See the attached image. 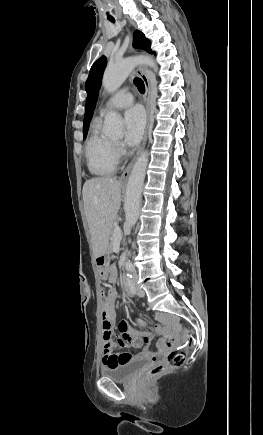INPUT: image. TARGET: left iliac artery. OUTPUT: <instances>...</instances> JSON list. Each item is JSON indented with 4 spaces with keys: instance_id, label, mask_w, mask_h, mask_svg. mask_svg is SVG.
Returning a JSON list of instances; mask_svg holds the SVG:
<instances>
[{
    "instance_id": "left-iliac-artery-1",
    "label": "left iliac artery",
    "mask_w": 263,
    "mask_h": 435,
    "mask_svg": "<svg viewBox=\"0 0 263 435\" xmlns=\"http://www.w3.org/2000/svg\"><path fill=\"white\" fill-rule=\"evenodd\" d=\"M128 269H129L130 271H133V270H134V268H133L132 265H130V266L128 267Z\"/></svg>"
}]
</instances>
